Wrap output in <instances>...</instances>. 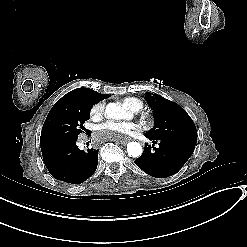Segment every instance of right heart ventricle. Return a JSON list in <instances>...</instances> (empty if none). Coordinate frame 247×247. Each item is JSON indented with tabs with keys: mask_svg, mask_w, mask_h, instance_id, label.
<instances>
[{
	"mask_svg": "<svg viewBox=\"0 0 247 247\" xmlns=\"http://www.w3.org/2000/svg\"><path fill=\"white\" fill-rule=\"evenodd\" d=\"M121 103L128 109L131 115L132 113L139 111L143 107V102L141 100L132 97L121 99Z\"/></svg>",
	"mask_w": 247,
	"mask_h": 247,
	"instance_id": "e07e8e85",
	"label": "right heart ventricle"
}]
</instances>
